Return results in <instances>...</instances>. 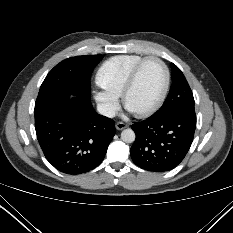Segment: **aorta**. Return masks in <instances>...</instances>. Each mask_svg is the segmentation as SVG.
<instances>
[{"label":"aorta","mask_w":233,"mask_h":233,"mask_svg":"<svg viewBox=\"0 0 233 233\" xmlns=\"http://www.w3.org/2000/svg\"><path fill=\"white\" fill-rule=\"evenodd\" d=\"M121 139L125 142V143H132L135 140V133L132 129H124L121 132Z\"/></svg>","instance_id":"762f6f07"}]
</instances>
